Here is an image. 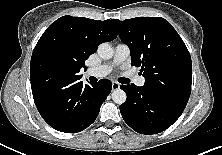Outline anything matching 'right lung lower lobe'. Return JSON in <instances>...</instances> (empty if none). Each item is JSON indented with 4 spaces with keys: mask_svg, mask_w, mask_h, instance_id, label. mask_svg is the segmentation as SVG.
Masks as SVG:
<instances>
[{
    "mask_svg": "<svg viewBox=\"0 0 222 155\" xmlns=\"http://www.w3.org/2000/svg\"><path fill=\"white\" fill-rule=\"evenodd\" d=\"M112 84L106 80L84 85L81 78L33 90L36 107L43 119L64 133L80 132L97 118Z\"/></svg>",
    "mask_w": 222,
    "mask_h": 155,
    "instance_id": "right-lung-lower-lobe-1",
    "label": "right lung lower lobe"
}]
</instances>
